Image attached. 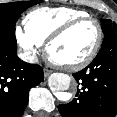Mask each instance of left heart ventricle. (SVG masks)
Here are the masks:
<instances>
[{
	"instance_id": "1",
	"label": "left heart ventricle",
	"mask_w": 117,
	"mask_h": 117,
	"mask_svg": "<svg viewBox=\"0 0 117 117\" xmlns=\"http://www.w3.org/2000/svg\"><path fill=\"white\" fill-rule=\"evenodd\" d=\"M97 39L96 25L83 22L50 48V56L59 63H74L84 59L93 49Z\"/></svg>"
}]
</instances>
